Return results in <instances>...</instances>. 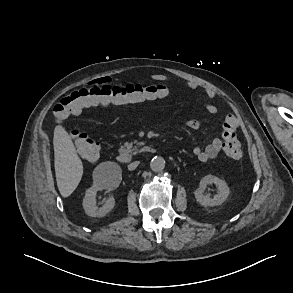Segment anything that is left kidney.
Segmentation results:
<instances>
[{
	"label": "left kidney",
	"mask_w": 293,
	"mask_h": 293,
	"mask_svg": "<svg viewBox=\"0 0 293 293\" xmlns=\"http://www.w3.org/2000/svg\"><path fill=\"white\" fill-rule=\"evenodd\" d=\"M214 183L217 186L218 193L210 197L209 194H205L204 191L207 185ZM230 194L227 183L213 175H207L203 177L199 183V188L194 191L196 201L204 207L218 206L224 203Z\"/></svg>",
	"instance_id": "obj_1"
}]
</instances>
